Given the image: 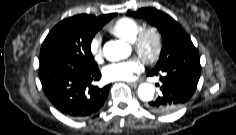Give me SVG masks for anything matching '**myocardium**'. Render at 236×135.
Here are the masks:
<instances>
[{"label": "myocardium", "instance_id": "myocardium-1", "mask_svg": "<svg viewBox=\"0 0 236 135\" xmlns=\"http://www.w3.org/2000/svg\"><path fill=\"white\" fill-rule=\"evenodd\" d=\"M153 42V49L148 50L147 44ZM134 51L147 63L156 62L163 50V38L158 28L149 26L142 28L132 42Z\"/></svg>", "mask_w": 236, "mask_h": 135}]
</instances>
